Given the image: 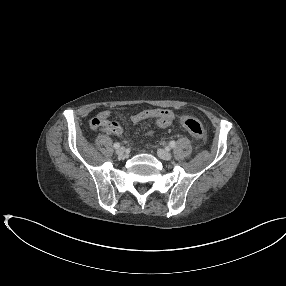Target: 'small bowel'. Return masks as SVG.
I'll return each instance as SVG.
<instances>
[{
    "instance_id": "small-bowel-1",
    "label": "small bowel",
    "mask_w": 286,
    "mask_h": 286,
    "mask_svg": "<svg viewBox=\"0 0 286 286\" xmlns=\"http://www.w3.org/2000/svg\"><path fill=\"white\" fill-rule=\"evenodd\" d=\"M175 118L174 112L169 109H146L131 116V121L135 124L153 119L158 127L168 128L172 125ZM90 128L92 130L102 129L105 133L120 136L123 133V128L117 121L110 120V111L103 110L98 113L90 121Z\"/></svg>"
}]
</instances>
